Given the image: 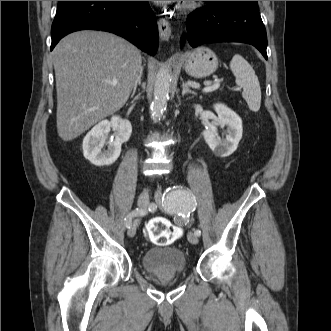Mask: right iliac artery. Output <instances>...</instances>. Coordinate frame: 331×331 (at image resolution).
Wrapping results in <instances>:
<instances>
[{
	"instance_id": "obj_1",
	"label": "right iliac artery",
	"mask_w": 331,
	"mask_h": 331,
	"mask_svg": "<svg viewBox=\"0 0 331 331\" xmlns=\"http://www.w3.org/2000/svg\"><path fill=\"white\" fill-rule=\"evenodd\" d=\"M146 214V210H140L139 208L133 210L131 213H129L127 215V217L125 218V226L127 228H130L131 224H132V218L137 216V215H144Z\"/></svg>"
}]
</instances>
